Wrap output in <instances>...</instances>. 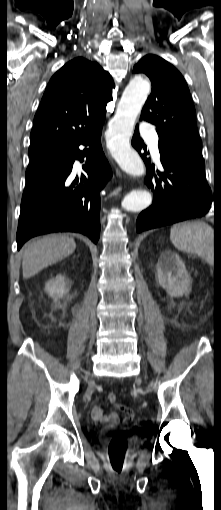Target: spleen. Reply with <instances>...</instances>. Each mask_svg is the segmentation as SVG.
<instances>
[{"instance_id":"1","label":"spleen","mask_w":221,"mask_h":510,"mask_svg":"<svg viewBox=\"0 0 221 510\" xmlns=\"http://www.w3.org/2000/svg\"><path fill=\"white\" fill-rule=\"evenodd\" d=\"M170 239L180 251L192 253L212 263L214 234L211 226L201 221L177 223L171 227Z\"/></svg>"}]
</instances>
